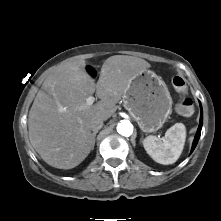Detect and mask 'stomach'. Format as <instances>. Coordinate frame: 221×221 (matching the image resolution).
Instances as JSON below:
<instances>
[{"instance_id": "obj_1", "label": "stomach", "mask_w": 221, "mask_h": 221, "mask_svg": "<svg viewBox=\"0 0 221 221\" xmlns=\"http://www.w3.org/2000/svg\"><path fill=\"white\" fill-rule=\"evenodd\" d=\"M122 98L126 110L146 133L160 129L171 113L172 99L166 84L151 70L134 77Z\"/></svg>"}]
</instances>
